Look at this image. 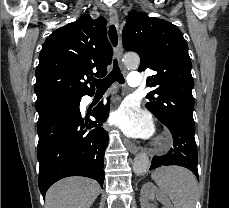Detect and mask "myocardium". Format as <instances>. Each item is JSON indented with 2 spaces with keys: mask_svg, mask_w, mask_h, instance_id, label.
<instances>
[{
  "mask_svg": "<svg viewBox=\"0 0 229 208\" xmlns=\"http://www.w3.org/2000/svg\"><path fill=\"white\" fill-rule=\"evenodd\" d=\"M173 144V137L168 131H161L157 134L152 143V148L156 152H163L169 149Z\"/></svg>",
  "mask_w": 229,
  "mask_h": 208,
  "instance_id": "1",
  "label": "myocardium"
}]
</instances>
